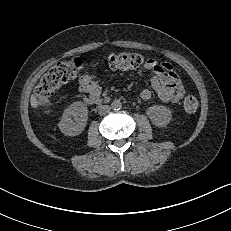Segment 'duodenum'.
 Returning <instances> with one entry per match:
<instances>
[{"mask_svg":"<svg viewBox=\"0 0 231 231\" xmlns=\"http://www.w3.org/2000/svg\"><path fill=\"white\" fill-rule=\"evenodd\" d=\"M84 101L87 104H103V103H107L109 101V99L108 98L101 99L99 97L88 95L84 98Z\"/></svg>","mask_w":231,"mask_h":231,"instance_id":"410a0bca","label":"duodenum"}]
</instances>
